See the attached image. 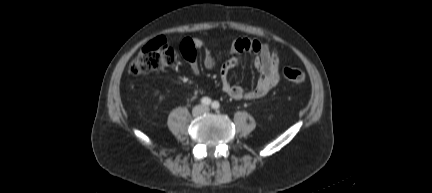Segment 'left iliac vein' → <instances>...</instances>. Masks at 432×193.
Instances as JSON below:
<instances>
[{
	"mask_svg": "<svg viewBox=\"0 0 432 193\" xmlns=\"http://www.w3.org/2000/svg\"><path fill=\"white\" fill-rule=\"evenodd\" d=\"M204 111H205V112H208V111H209V109H208V108H205V109H204Z\"/></svg>",
	"mask_w": 432,
	"mask_h": 193,
	"instance_id": "4c4485c4",
	"label": "left iliac vein"
}]
</instances>
